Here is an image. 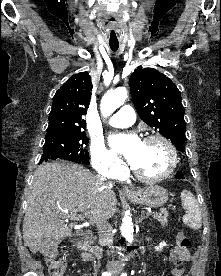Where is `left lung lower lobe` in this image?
<instances>
[{"label": "left lung lower lobe", "mask_w": 221, "mask_h": 276, "mask_svg": "<svg viewBox=\"0 0 221 276\" xmlns=\"http://www.w3.org/2000/svg\"><path fill=\"white\" fill-rule=\"evenodd\" d=\"M175 178L181 179V178H184V175H183V173H177V174L175 175Z\"/></svg>", "instance_id": "1"}]
</instances>
